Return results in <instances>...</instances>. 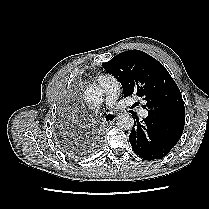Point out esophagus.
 Here are the masks:
<instances>
[{
	"label": "esophagus",
	"mask_w": 209,
	"mask_h": 209,
	"mask_svg": "<svg viewBox=\"0 0 209 209\" xmlns=\"http://www.w3.org/2000/svg\"><path fill=\"white\" fill-rule=\"evenodd\" d=\"M106 118H109V120H105V123L112 124L116 120L115 115H108Z\"/></svg>",
	"instance_id": "esophagus-1"
}]
</instances>
